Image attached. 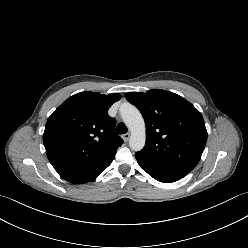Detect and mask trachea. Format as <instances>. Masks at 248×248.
<instances>
[{
  "mask_svg": "<svg viewBox=\"0 0 248 248\" xmlns=\"http://www.w3.org/2000/svg\"><path fill=\"white\" fill-rule=\"evenodd\" d=\"M116 131L118 134H125L127 133L128 129L123 123H119L116 127Z\"/></svg>",
  "mask_w": 248,
  "mask_h": 248,
  "instance_id": "1",
  "label": "trachea"
}]
</instances>
